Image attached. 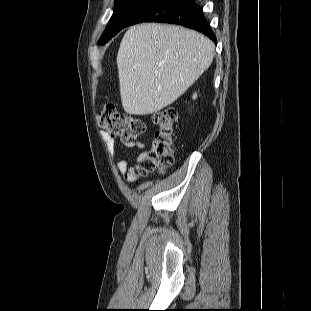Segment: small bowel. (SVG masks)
Here are the masks:
<instances>
[{
    "mask_svg": "<svg viewBox=\"0 0 311 311\" xmlns=\"http://www.w3.org/2000/svg\"><path fill=\"white\" fill-rule=\"evenodd\" d=\"M103 141L106 144V148L111 157L117 158L116 140L114 137L108 133L101 134ZM126 147L138 148L140 153L137 157V162L134 165L129 164V162L123 158H118L117 169L119 173L123 176L126 182L130 183L137 179L140 174L139 166L143 157L146 154V144L141 141H130L127 139L120 140Z\"/></svg>",
    "mask_w": 311,
    "mask_h": 311,
    "instance_id": "1",
    "label": "small bowel"
}]
</instances>
